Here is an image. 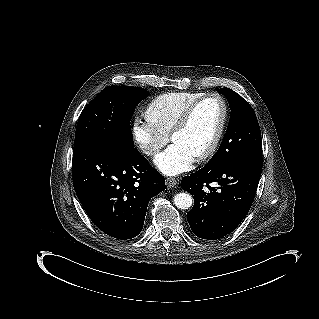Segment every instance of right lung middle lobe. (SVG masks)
Listing matches in <instances>:
<instances>
[{
  "instance_id": "dd1d6c3e",
  "label": "right lung middle lobe",
  "mask_w": 319,
  "mask_h": 319,
  "mask_svg": "<svg viewBox=\"0 0 319 319\" xmlns=\"http://www.w3.org/2000/svg\"><path fill=\"white\" fill-rule=\"evenodd\" d=\"M149 93L139 87L108 86L82 111L75 133L74 147L114 141L134 148L130 120L136 106Z\"/></svg>"
}]
</instances>
